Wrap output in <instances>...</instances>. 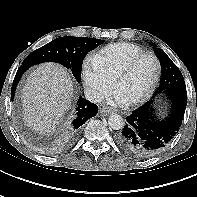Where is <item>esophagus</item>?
Returning <instances> with one entry per match:
<instances>
[{
	"label": "esophagus",
	"instance_id": "esophagus-1",
	"mask_svg": "<svg viewBox=\"0 0 197 197\" xmlns=\"http://www.w3.org/2000/svg\"><path fill=\"white\" fill-rule=\"evenodd\" d=\"M114 111L110 108V107H107V106H102L100 108V113L107 116V115H110L111 113H113Z\"/></svg>",
	"mask_w": 197,
	"mask_h": 197
}]
</instances>
